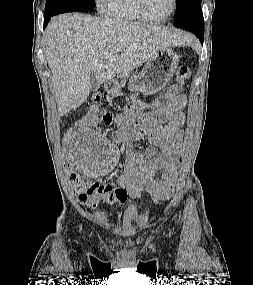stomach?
<instances>
[{"label":"stomach","instance_id":"0dacf381","mask_svg":"<svg viewBox=\"0 0 253 285\" xmlns=\"http://www.w3.org/2000/svg\"><path fill=\"white\" fill-rule=\"evenodd\" d=\"M178 64L179 56L173 49L170 47L161 49L148 60L140 74L129 79L128 89L141 91L145 95L158 92L173 77ZM106 90L111 96L122 95L121 86L116 82L109 83Z\"/></svg>","mask_w":253,"mask_h":285}]
</instances>
